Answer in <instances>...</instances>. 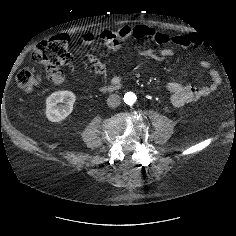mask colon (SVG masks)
Returning a JSON list of instances; mask_svg holds the SVG:
<instances>
[{
  "label": "colon",
  "instance_id": "colon-1",
  "mask_svg": "<svg viewBox=\"0 0 236 236\" xmlns=\"http://www.w3.org/2000/svg\"><path fill=\"white\" fill-rule=\"evenodd\" d=\"M73 57L68 48V39L64 36H56L40 42L32 52V60L35 64L44 68L48 78H54L59 74V69L71 63ZM18 86L25 91H33L42 82V76L34 69H22L16 78Z\"/></svg>",
  "mask_w": 236,
  "mask_h": 236
}]
</instances>
